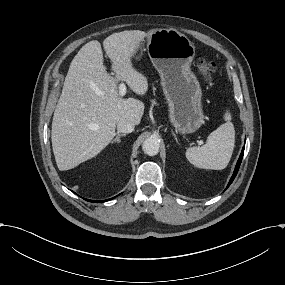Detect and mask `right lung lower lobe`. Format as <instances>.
Returning a JSON list of instances; mask_svg holds the SVG:
<instances>
[{
    "mask_svg": "<svg viewBox=\"0 0 285 285\" xmlns=\"http://www.w3.org/2000/svg\"><path fill=\"white\" fill-rule=\"evenodd\" d=\"M87 200V199H86ZM109 200V199H108ZM87 201H90V202H105L106 200L104 201H94V200H87Z\"/></svg>",
    "mask_w": 285,
    "mask_h": 285,
    "instance_id": "right-lung-lower-lobe-1",
    "label": "right lung lower lobe"
}]
</instances>
